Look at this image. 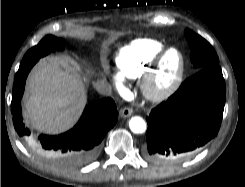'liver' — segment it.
<instances>
[{"label":"liver","instance_id":"6515ba94","mask_svg":"<svg viewBox=\"0 0 245 187\" xmlns=\"http://www.w3.org/2000/svg\"><path fill=\"white\" fill-rule=\"evenodd\" d=\"M79 70L77 63L59 56L35 66L24 99L25 119L33 128L57 134L75 123L86 102Z\"/></svg>","mask_w":245,"mask_h":187}]
</instances>
